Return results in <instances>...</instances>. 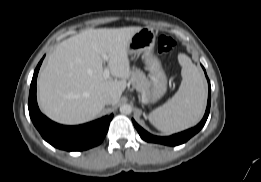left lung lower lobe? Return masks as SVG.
I'll list each match as a JSON object with an SVG mask.
<instances>
[{
	"instance_id": "1",
	"label": "left lung lower lobe",
	"mask_w": 261,
	"mask_h": 182,
	"mask_svg": "<svg viewBox=\"0 0 261 182\" xmlns=\"http://www.w3.org/2000/svg\"><path fill=\"white\" fill-rule=\"evenodd\" d=\"M205 74H206V72H205ZM206 77H207V75H206ZM207 80H208V84H209L207 108H206V112H205L203 119L201 120V122L197 126H195L194 128L188 129L186 131H183L181 133L174 134V135L169 136V137H159V136L149 134L142 127H140L134 121V119H132L133 124H134L135 128L137 129L141 138L143 140L147 141V142L160 143V144L169 145V146H176V145H180V144L185 143L192 136H194L196 133H198L201 130V128L204 126V124H205V122L208 118L209 111H210L211 86H210V81H209L208 78H207Z\"/></svg>"
}]
</instances>
